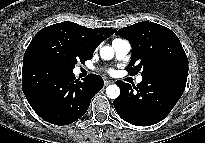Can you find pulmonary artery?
Segmentation results:
<instances>
[{
	"label": "pulmonary artery",
	"instance_id": "1",
	"mask_svg": "<svg viewBox=\"0 0 205 143\" xmlns=\"http://www.w3.org/2000/svg\"><path fill=\"white\" fill-rule=\"evenodd\" d=\"M112 47L114 49L115 57L117 60H122L126 58L131 49L130 43L124 39H115L112 43ZM141 82H142V76L139 75L136 78V83H141Z\"/></svg>",
	"mask_w": 205,
	"mask_h": 143
}]
</instances>
